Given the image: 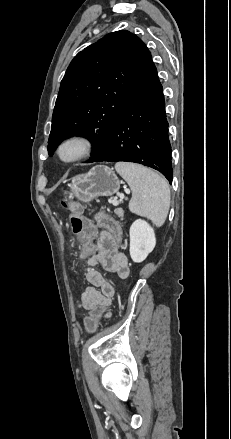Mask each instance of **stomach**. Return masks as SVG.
<instances>
[{"label":"stomach","instance_id":"1","mask_svg":"<svg viewBox=\"0 0 231 439\" xmlns=\"http://www.w3.org/2000/svg\"><path fill=\"white\" fill-rule=\"evenodd\" d=\"M69 188L71 196L86 203L99 196L108 197L116 194L120 188V181L113 170L99 165L74 177Z\"/></svg>","mask_w":231,"mask_h":439}]
</instances>
